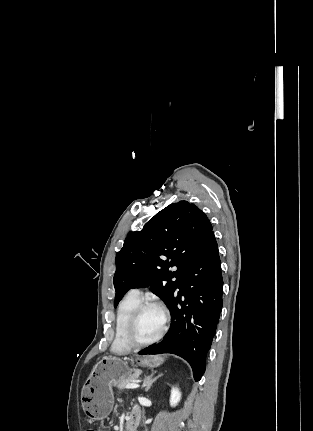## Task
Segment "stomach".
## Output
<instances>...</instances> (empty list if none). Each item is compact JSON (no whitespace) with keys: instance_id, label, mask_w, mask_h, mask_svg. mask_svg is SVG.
Masks as SVG:
<instances>
[{"instance_id":"0dacf381","label":"stomach","mask_w":313,"mask_h":431,"mask_svg":"<svg viewBox=\"0 0 313 431\" xmlns=\"http://www.w3.org/2000/svg\"><path fill=\"white\" fill-rule=\"evenodd\" d=\"M162 356L137 357L136 365L156 368L163 364ZM133 360L118 357H104L93 368L82 388L81 403L87 417L91 420L106 418L113 408L114 394L112 387L122 378L132 376L140 370L129 366Z\"/></svg>"}]
</instances>
